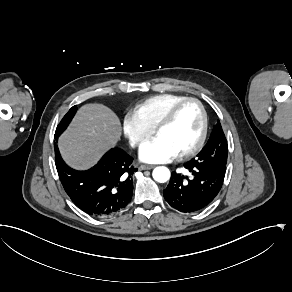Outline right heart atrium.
I'll use <instances>...</instances> for the list:
<instances>
[{
  "instance_id": "1",
  "label": "right heart atrium",
  "mask_w": 292,
  "mask_h": 292,
  "mask_svg": "<svg viewBox=\"0 0 292 292\" xmlns=\"http://www.w3.org/2000/svg\"><path fill=\"white\" fill-rule=\"evenodd\" d=\"M123 134L133 146L142 145L151 135L150 128L133 110H127L123 114Z\"/></svg>"
}]
</instances>
